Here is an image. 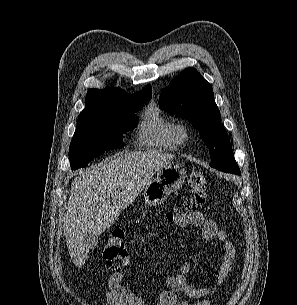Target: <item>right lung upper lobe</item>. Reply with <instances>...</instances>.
Masks as SVG:
<instances>
[{"mask_svg":"<svg viewBox=\"0 0 297 305\" xmlns=\"http://www.w3.org/2000/svg\"><path fill=\"white\" fill-rule=\"evenodd\" d=\"M151 94L152 90L150 85H147L135 95H126L119 88H106L104 90L89 89L86 95L85 109L108 108L122 102L151 99Z\"/></svg>","mask_w":297,"mask_h":305,"instance_id":"cb5924a9","label":"right lung upper lobe"}]
</instances>
